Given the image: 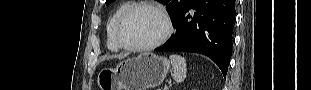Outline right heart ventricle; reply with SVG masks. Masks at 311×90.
Wrapping results in <instances>:
<instances>
[{"instance_id": "1", "label": "right heart ventricle", "mask_w": 311, "mask_h": 90, "mask_svg": "<svg viewBox=\"0 0 311 90\" xmlns=\"http://www.w3.org/2000/svg\"><path fill=\"white\" fill-rule=\"evenodd\" d=\"M130 6H132V3L130 2H123L120 5H118L107 22L106 25L107 46L112 51H117L120 49V46L117 44L114 36V28L116 21L119 18V16Z\"/></svg>"}]
</instances>
